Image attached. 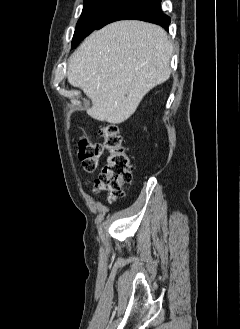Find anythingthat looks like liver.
I'll list each match as a JSON object with an SVG mask.
<instances>
[{
    "mask_svg": "<svg viewBox=\"0 0 240 329\" xmlns=\"http://www.w3.org/2000/svg\"><path fill=\"white\" fill-rule=\"evenodd\" d=\"M172 52L166 31L157 25L111 23L90 34L73 53L68 82L91 99L88 114L93 119L120 124L170 77Z\"/></svg>",
    "mask_w": 240,
    "mask_h": 329,
    "instance_id": "obj_1",
    "label": "liver"
}]
</instances>
